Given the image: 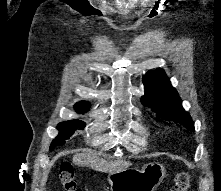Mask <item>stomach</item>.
Segmentation results:
<instances>
[{
    "instance_id": "obj_1",
    "label": "stomach",
    "mask_w": 221,
    "mask_h": 191,
    "mask_svg": "<svg viewBox=\"0 0 221 191\" xmlns=\"http://www.w3.org/2000/svg\"><path fill=\"white\" fill-rule=\"evenodd\" d=\"M166 174L160 163L146 164L142 169L125 168L109 173L112 191H155Z\"/></svg>"
}]
</instances>
